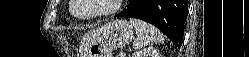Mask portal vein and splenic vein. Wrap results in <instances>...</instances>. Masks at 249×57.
Here are the masks:
<instances>
[{
  "label": "portal vein and splenic vein",
  "mask_w": 249,
  "mask_h": 57,
  "mask_svg": "<svg viewBox=\"0 0 249 57\" xmlns=\"http://www.w3.org/2000/svg\"><path fill=\"white\" fill-rule=\"evenodd\" d=\"M119 56L120 57H125V54L124 53H120Z\"/></svg>",
  "instance_id": "1"
}]
</instances>
